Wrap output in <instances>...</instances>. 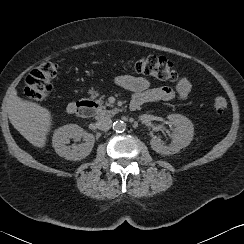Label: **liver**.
Wrapping results in <instances>:
<instances>
[{"instance_id": "obj_1", "label": "liver", "mask_w": 244, "mask_h": 244, "mask_svg": "<svg viewBox=\"0 0 244 244\" xmlns=\"http://www.w3.org/2000/svg\"><path fill=\"white\" fill-rule=\"evenodd\" d=\"M8 116L27 141L35 147L45 146L46 135L52 125V115L47 108L13 94L8 101Z\"/></svg>"}]
</instances>
